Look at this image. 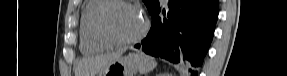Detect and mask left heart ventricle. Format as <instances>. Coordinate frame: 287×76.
Segmentation results:
<instances>
[{"mask_svg": "<svg viewBox=\"0 0 287 76\" xmlns=\"http://www.w3.org/2000/svg\"><path fill=\"white\" fill-rule=\"evenodd\" d=\"M105 27L118 39H129L136 36L143 27L141 13L126 5H116L105 18Z\"/></svg>", "mask_w": 287, "mask_h": 76, "instance_id": "1", "label": "left heart ventricle"}]
</instances>
